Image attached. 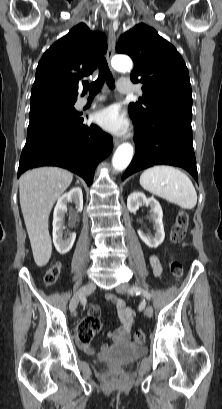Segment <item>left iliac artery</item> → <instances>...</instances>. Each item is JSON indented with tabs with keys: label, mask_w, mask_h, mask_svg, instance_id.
<instances>
[{
	"label": "left iliac artery",
	"mask_w": 222,
	"mask_h": 409,
	"mask_svg": "<svg viewBox=\"0 0 222 409\" xmlns=\"http://www.w3.org/2000/svg\"><path fill=\"white\" fill-rule=\"evenodd\" d=\"M129 293L132 294V295L133 294H136V295L143 294L148 300L151 299L150 293H148L147 291H145V290H143V289H141L140 287H137V286L131 287L130 290H129Z\"/></svg>",
	"instance_id": "obj_1"
}]
</instances>
